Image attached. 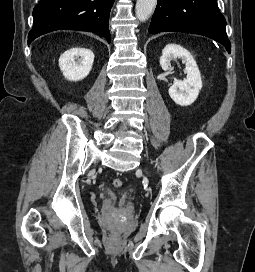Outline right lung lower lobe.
<instances>
[{"label": "right lung lower lobe", "mask_w": 255, "mask_h": 272, "mask_svg": "<svg viewBox=\"0 0 255 272\" xmlns=\"http://www.w3.org/2000/svg\"><path fill=\"white\" fill-rule=\"evenodd\" d=\"M114 0H40L33 10V27L28 45L55 30L90 31L111 42L109 15Z\"/></svg>", "instance_id": "right-lung-lower-lobe-1"}]
</instances>
